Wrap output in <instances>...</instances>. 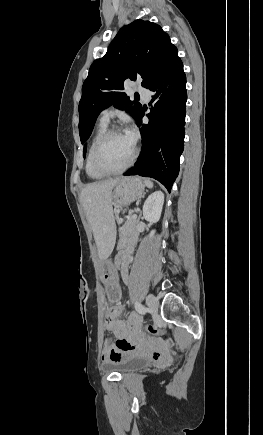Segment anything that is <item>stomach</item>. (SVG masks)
I'll return each mask as SVG.
<instances>
[{"label": "stomach", "mask_w": 263, "mask_h": 435, "mask_svg": "<svg viewBox=\"0 0 263 435\" xmlns=\"http://www.w3.org/2000/svg\"><path fill=\"white\" fill-rule=\"evenodd\" d=\"M145 185L140 178L127 177L122 178L114 187L112 192L113 205L116 208H123L131 204L134 200L141 197L144 193ZM121 262L110 264L103 260V273L101 276L104 282V293L108 305H121L125 293V286L120 285V278L124 272Z\"/></svg>", "instance_id": "1"}]
</instances>
